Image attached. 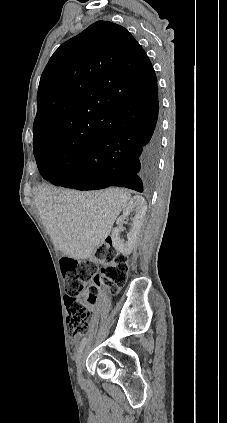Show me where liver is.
Listing matches in <instances>:
<instances>
[{"label": "liver", "mask_w": 227, "mask_h": 423, "mask_svg": "<svg viewBox=\"0 0 227 423\" xmlns=\"http://www.w3.org/2000/svg\"><path fill=\"white\" fill-rule=\"evenodd\" d=\"M130 198L129 192L119 188L76 192L44 186L35 206L56 249L73 259H87L105 243Z\"/></svg>", "instance_id": "obj_1"}]
</instances>
